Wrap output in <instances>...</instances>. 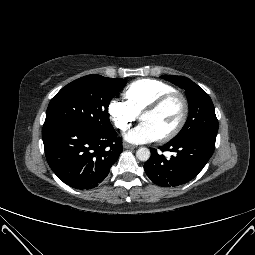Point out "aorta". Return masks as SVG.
<instances>
[{"mask_svg":"<svg viewBox=\"0 0 255 255\" xmlns=\"http://www.w3.org/2000/svg\"><path fill=\"white\" fill-rule=\"evenodd\" d=\"M151 156V152L146 147H141L136 151V157L140 161H148Z\"/></svg>","mask_w":255,"mask_h":255,"instance_id":"aorta-1","label":"aorta"}]
</instances>
